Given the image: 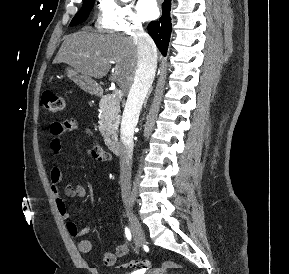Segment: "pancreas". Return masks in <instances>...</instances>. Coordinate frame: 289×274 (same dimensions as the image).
Listing matches in <instances>:
<instances>
[{
	"mask_svg": "<svg viewBox=\"0 0 289 274\" xmlns=\"http://www.w3.org/2000/svg\"><path fill=\"white\" fill-rule=\"evenodd\" d=\"M99 108L101 110L99 130L105 142H110L111 138L117 136L120 123V100L112 95H105L100 100Z\"/></svg>",
	"mask_w": 289,
	"mask_h": 274,
	"instance_id": "1",
	"label": "pancreas"
}]
</instances>
